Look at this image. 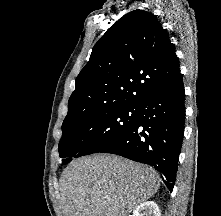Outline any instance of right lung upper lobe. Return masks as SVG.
<instances>
[{
  "instance_id": "cb5924a9",
  "label": "right lung upper lobe",
  "mask_w": 221,
  "mask_h": 216,
  "mask_svg": "<svg viewBox=\"0 0 221 216\" xmlns=\"http://www.w3.org/2000/svg\"><path fill=\"white\" fill-rule=\"evenodd\" d=\"M179 72L173 44L157 18L131 11L95 44L76 78L63 124L107 108L138 106Z\"/></svg>"
}]
</instances>
